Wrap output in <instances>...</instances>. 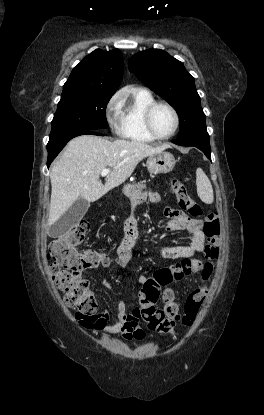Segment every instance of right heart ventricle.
I'll use <instances>...</instances> for the list:
<instances>
[{"label": "right heart ventricle", "mask_w": 264, "mask_h": 415, "mask_svg": "<svg viewBox=\"0 0 264 415\" xmlns=\"http://www.w3.org/2000/svg\"><path fill=\"white\" fill-rule=\"evenodd\" d=\"M153 102H155V98L148 90H134L128 99L123 100L120 107L119 133L121 137L134 142L150 143L155 141L146 132L143 123L144 110Z\"/></svg>", "instance_id": "e07e8e85"}]
</instances>
